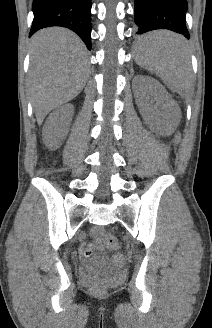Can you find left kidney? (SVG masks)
Wrapping results in <instances>:
<instances>
[{
  "label": "left kidney",
  "instance_id": "left-kidney-1",
  "mask_svg": "<svg viewBox=\"0 0 212 328\" xmlns=\"http://www.w3.org/2000/svg\"><path fill=\"white\" fill-rule=\"evenodd\" d=\"M135 99L146 124L154 127L161 135H171L180 121V109L168 92L153 78L138 76L134 81ZM148 95L154 97L161 112L157 122L152 121L153 109L148 104Z\"/></svg>",
  "mask_w": 212,
  "mask_h": 328
}]
</instances>
